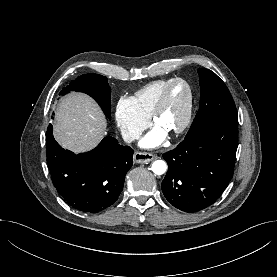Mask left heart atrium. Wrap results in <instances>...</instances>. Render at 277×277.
Here are the masks:
<instances>
[{
    "label": "left heart atrium",
    "instance_id": "39dd6f15",
    "mask_svg": "<svg viewBox=\"0 0 277 277\" xmlns=\"http://www.w3.org/2000/svg\"><path fill=\"white\" fill-rule=\"evenodd\" d=\"M166 137L167 133L156 126L151 132L140 140L139 145L143 148H155L161 145Z\"/></svg>",
    "mask_w": 277,
    "mask_h": 277
}]
</instances>
